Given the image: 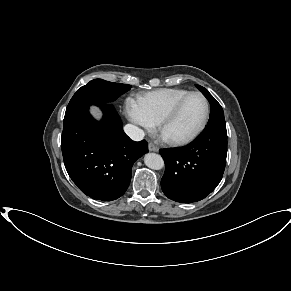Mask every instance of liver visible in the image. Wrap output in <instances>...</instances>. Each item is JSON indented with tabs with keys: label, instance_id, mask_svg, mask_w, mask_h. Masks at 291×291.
<instances>
[{
	"label": "liver",
	"instance_id": "1",
	"mask_svg": "<svg viewBox=\"0 0 291 291\" xmlns=\"http://www.w3.org/2000/svg\"><path fill=\"white\" fill-rule=\"evenodd\" d=\"M91 113L97 118L100 117V111L97 108H92Z\"/></svg>",
	"mask_w": 291,
	"mask_h": 291
}]
</instances>
